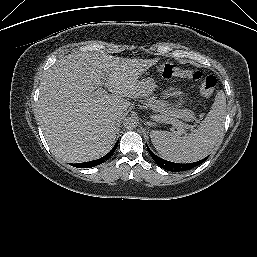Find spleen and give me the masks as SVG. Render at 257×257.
<instances>
[{
    "mask_svg": "<svg viewBox=\"0 0 257 257\" xmlns=\"http://www.w3.org/2000/svg\"><path fill=\"white\" fill-rule=\"evenodd\" d=\"M226 115V99L219 91L210 112L191 133L179 136L167 131L153 130L151 141L157 152L166 160L190 163L203 159L223 135Z\"/></svg>",
    "mask_w": 257,
    "mask_h": 257,
    "instance_id": "spleen-1",
    "label": "spleen"
}]
</instances>
